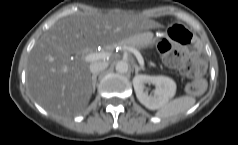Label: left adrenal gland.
Masks as SVG:
<instances>
[{"label":"left adrenal gland","instance_id":"left-adrenal-gland-1","mask_svg":"<svg viewBox=\"0 0 238 145\" xmlns=\"http://www.w3.org/2000/svg\"><path fill=\"white\" fill-rule=\"evenodd\" d=\"M135 68V74L137 75L140 70H145V68L138 66L137 64L133 65Z\"/></svg>","mask_w":238,"mask_h":145}]
</instances>
